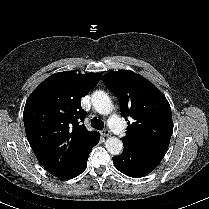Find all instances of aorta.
Here are the masks:
<instances>
[{"mask_svg":"<svg viewBox=\"0 0 209 209\" xmlns=\"http://www.w3.org/2000/svg\"><path fill=\"white\" fill-rule=\"evenodd\" d=\"M91 102L94 109L102 115H108L112 111V101L104 91H95ZM107 151L112 155H119L123 150V143L117 137H109L105 142Z\"/></svg>","mask_w":209,"mask_h":209,"instance_id":"aorta-1","label":"aorta"}]
</instances>
